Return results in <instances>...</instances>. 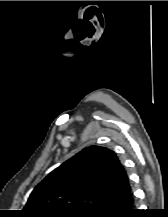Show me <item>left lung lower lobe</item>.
<instances>
[{
	"instance_id": "left-lung-lower-lobe-1",
	"label": "left lung lower lobe",
	"mask_w": 168,
	"mask_h": 217,
	"mask_svg": "<svg viewBox=\"0 0 168 217\" xmlns=\"http://www.w3.org/2000/svg\"><path fill=\"white\" fill-rule=\"evenodd\" d=\"M134 196L130 183L114 194L97 217H137Z\"/></svg>"
}]
</instances>
